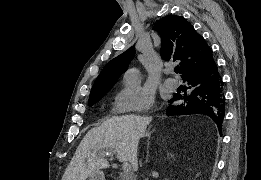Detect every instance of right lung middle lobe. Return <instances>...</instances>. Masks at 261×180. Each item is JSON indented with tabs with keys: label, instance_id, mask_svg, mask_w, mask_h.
I'll list each match as a JSON object with an SVG mask.
<instances>
[{
	"label": "right lung middle lobe",
	"instance_id": "right-lung-middle-lobe-1",
	"mask_svg": "<svg viewBox=\"0 0 261 180\" xmlns=\"http://www.w3.org/2000/svg\"><path fill=\"white\" fill-rule=\"evenodd\" d=\"M102 97H103V95H102V96H97V97L90 98V99H89V102H88L89 106L94 105V104H95L96 102H98Z\"/></svg>",
	"mask_w": 261,
	"mask_h": 180
}]
</instances>
